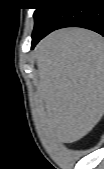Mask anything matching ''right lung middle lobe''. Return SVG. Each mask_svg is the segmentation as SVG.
I'll return each mask as SVG.
<instances>
[{"mask_svg":"<svg viewBox=\"0 0 104 169\" xmlns=\"http://www.w3.org/2000/svg\"><path fill=\"white\" fill-rule=\"evenodd\" d=\"M60 0H36L34 12V31L39 30L48 18L57 10Z\"/></svg>","mask_w":104,"mask_h":169,"instance_id":"dd1d6c3e","label":"right lung middle lobe"}]
</instances>
